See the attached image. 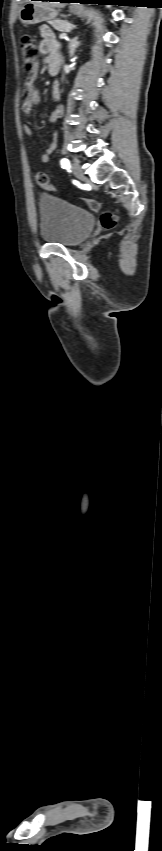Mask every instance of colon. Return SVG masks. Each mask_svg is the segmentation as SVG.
<instances>
[{
  "label": "colon",
  "mask_w": 162,
  "mask_h": 851,
  "mask_svg": "<svg viewBox=\"0 0 162 851\" xmlns=\"http://www.w3.org/2000/svg\"><path fill=\"white\" fill-rule=\"evenodd\" d=\"M20 50L24 68L30 72L36 65V57L38 53V47L34 36L30 34L22 35L20 38ZM35 181L41 188L55 191L54 187L50 184L48 175L45 172H36ZM81 201L93 211L100 209V203L95 199L83 198ZM101 222L105 228H113L118 222V216L114 212L106 211L101 216Z\"/></svg>",
  "instance_id": "colon-1"
}]
</instances>
